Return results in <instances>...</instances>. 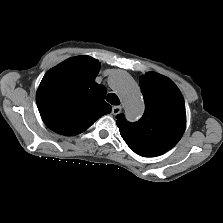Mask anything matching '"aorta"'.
Instances as JSON below:
<instances>
[{
	"label": "aorta",
	"mask_w": 223,
	"mask_h": 223,
	"mask_svg": "<svg viewBox=\"0 0 223 223\" xmlns=\"http://www.w3.org/2000/svg\"><path fill=\"white\" fill-rule=\"evenodd\" d=\"M109 79L123 100L126 118L129 121L140 119L144 113L145 104L133 78L126 71L115 70Z\"/></svg>",
	"instance_id": "1"
}]
</instances>
